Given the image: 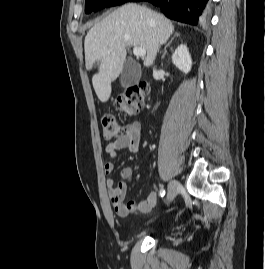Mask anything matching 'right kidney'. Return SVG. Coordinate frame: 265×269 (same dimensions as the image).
Here are the masks:
<instances>
[{"instance_id":"ca27d5eb","label":"right kidney","mask_w":265,"mask_h":269,"mask_svg":"<svg viewBox=\"0 0 265 269\" xmlns=\"http://www.w3.org/2000/svg\"><path fill=\"white\" fill-rule=\"evenodd\" d=\"M173 64L182 72L187 74L191 70L192 60L185 44L179 45L172 55Z\"/></svg>"}]
</instances>
